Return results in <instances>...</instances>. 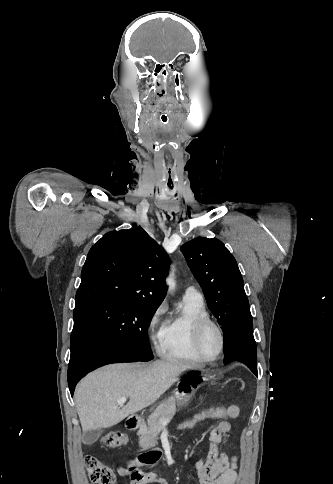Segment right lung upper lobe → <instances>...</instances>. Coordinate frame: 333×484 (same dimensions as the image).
Returning <instances> with one entry per match:
<instances>
[{"mask_svg":"<svg viewBox=\"0 0 333 484\" xmlns=\"http://www.w3.org/2000/svg\"><path fill=\"white\" fill-rule=\"evenodd\" d=\"M169 263L164 249L141 227L108 232L88 253L76 304L112 299L159 306Z\"/></svg>","mask_w":333,"mask_h":484,"instance_id":"obj_1","label":"right lung upper lobe"}]
</instances>
